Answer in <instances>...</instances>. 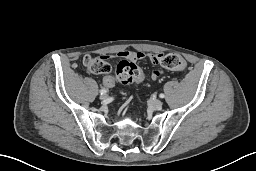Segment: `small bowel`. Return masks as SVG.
I'll return each instance as SVG.
<instances>
[{
    "mask_svg": "<svg viewBox=\"0 0 256 171\" xmlns=\"http://www.w3.org/2000/svg\"><path fill=\"white\" fill-rule=\"evenodd\" d=\"M163 55L164 54L162 53L152 54V53H146L142 51H127V50L120 51L117 54L119 58L129 59L131 61L148 60L153 64H160V60L163 57ZM184 68H185V64L180 70H183ZM160 76H161V72L156 70L151 74V79L156 81L159 79ZM103 84L108 88H112L115 85L114 76L106 75L103 78Z\"/></svg>",
    "mask_w": 256,
    "mask_h": 171,
    "instance_id": "obj_1",
    "label": "small bowel"
}]
</instances>
